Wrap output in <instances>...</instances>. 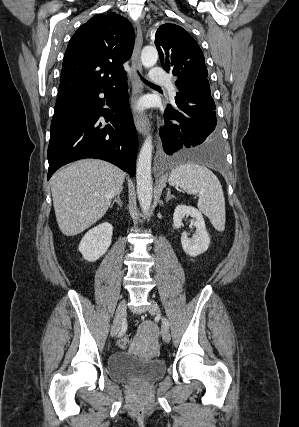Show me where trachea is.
<instances>
[{
	"label": "trachea",
	"mask_w": 299,
	"mask_h": 427,
	"mask_svg": "<svg viewBox=\"0 0 299 427\" xmlns=\"http://www.w3.org/2000/svg\"><path fill=\"white\" fill-rule=\"evenodd\" d=\"M138 74H139V73H138ZM139 76H140V74H139ZM140 77H141V76H140ZM141 79H142V81H143L144 83L152 84L151 82H149L148 80L144 79L143 77H141Z\"/></svg>",
	"instance_id": "obj_1"
}]
</instances>
